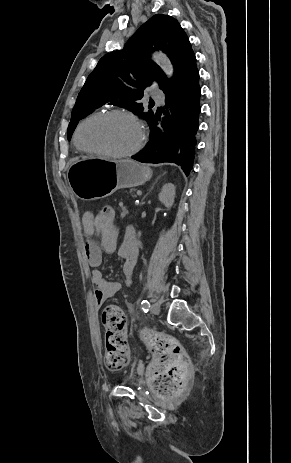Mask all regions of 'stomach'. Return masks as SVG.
<instances>
[{"mask_svg": "<svg viewBox=\"0 0 291 463\" xmlns=\"http://www.w3.org/2000/svg\"><path fill=\"white\" fill-rule=\"evenodd\" d=\"M151 176V169L145 165L105 157L74 158L67 169L69 186L81 200L107 197L118 189L142 185Z\"/></svg>", "mask_w": 291, "mask_h": 463, "instance_id": "stomach-1", "label": "stomach"}]
</instances>
